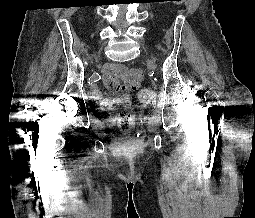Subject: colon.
I'll use <instances>...</instances> for the list:
<instances>
[{
  "instance_id": "colon-1",
  "label": "colon",
  "mask_w": 255,
  "mask_h": 218,
  "mask_svg": "<svg viewBox=\"0 0 255 218\" xmlns=\"http://www.w3.org/2000/svg\"><path fill=\"white\" fill-rule=\"evenodd\" d=\"M176 1H181V0H176ZM105 82L107 83V86L109 87V89L113 92H119L128 87L127 85L121 83L119 80L113 79V78H106ZM130 87L133 89H136L138 87V82L132 83ZM141 98L144 102H151L154 99L153 90L148 88L143 89L141 92ZM134 114H135L134 109L130 106H125L120 110V113H119L120 120H121L120 125L124 131L129 130Z\"/></svg>"
}]
</instances>
